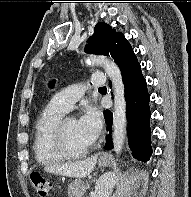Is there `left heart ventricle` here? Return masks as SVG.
<instances>
[{
  "instance_id": "obj_1",
  "label": "left heart ventricle",
  "mask_w": 191,
  "mask_h": 197,
  "mask_svg": "<svg viewBox=\"0 0 191 197\" xmlns=\"http://www.w3.org/2000/svg\"><path fill=\"white\" fill-rule=\"evenodd\" d=\"M65 136L67 146L74 152H79L90 145L80 134L77 121L74 118H70L66 122Z\"/></svg>"
}]
</instances>
